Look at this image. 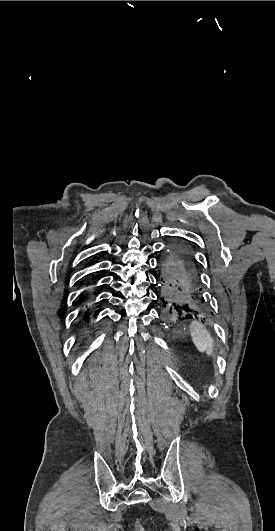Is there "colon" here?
I'll return each instance as SVG.
<instances>
[{"mask_svg": "<svg viewBox=\"0 0 275 531\" xmlns=\"http://www.w3.org/2000/svg\"><path fill=\"white\" fill-rule=\"evenodd\" d=\"M133 530L134 531H145V529L141 526V524L138 521L134 523Z\"/></svg>", "mask_w": 275, "mask_h": 531, "instance_id": "1", "label": "colon"}]
</instances>
